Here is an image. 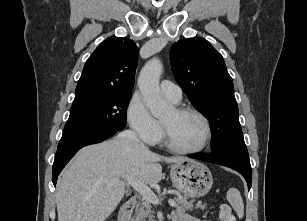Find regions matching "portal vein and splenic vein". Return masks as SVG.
Listing matches in <instances>:
<instances>
[{"mask_svg": "<svg viewBox=\"0 0 307 221\" xmlns=\"http://www.w3.org/2000/svg\"><path fill=\"white\" fill-rule=\"evenodd\" d=\"M128 184H130L139 194L142 195L143 199L152 204H159L160 200L155 193L143 182H141L135 176H129L126 178ZM169 205L176 207L175 200L169 199Z\"/></svg>", "mask_w": 307, "mask_h": 221, "instance_id": "portal-vein-and-splenic-vein-1", "label": "portal vein and splenic vein"}]
</instances>
